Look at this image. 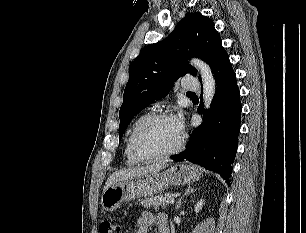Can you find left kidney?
Returning <instances> with one entry per match:
<instances>
[{
	"instance_id": "left-kidney-1",
	"label": "left kidney",
	"mask_w": 306,
	"mask_h": 233,
	"mask_svg": "<svg viewBox=\"0 0 306 233\" xmlns=\"http://www.w3.org/2000/svg\"><path fill=\"white\" fill-rule=\"evenodd\" d=\"M203 204H204V200H200L196 205H195V212L196 214L199 213V211L202 209L203 207Z\"/></svg>"
}]
</instances>
